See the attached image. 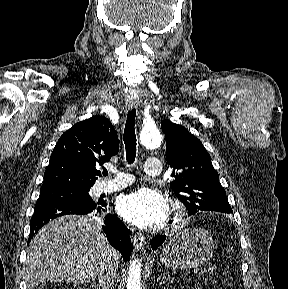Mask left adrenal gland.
<instances>
[{
    "label": "left adrenal gland",
    "mask_w": 288,
    "mask_h": 289,
    "mask_svg": "<svg viewBox=\"0 0 288 289\" xmlns=\"http://www.w3.org/2000/svg\"><path fill=\"white\" fill-rule=\"evenodd\" d=\"M171 280H172V278L170 277V275H168V276L166 277V275L163 274L161 284H162V283H165L166 281H171Z\"/></svg>",
    "instance_id": "a2214340"
}]
</instances>
